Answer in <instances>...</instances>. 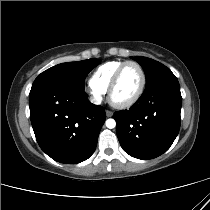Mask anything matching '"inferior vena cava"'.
<instances>
[{"label":"inferior vena cava","mask_w":210,"mask_h":210,"mask_svg":"<svg viewBox=\"0 0 210 210\" xmlns=\"http://www.w3.org/2000/svg\"><path fill=\"white\" fill-rule=\"evenodd\" d=\"M92 102L95 103V104H96V103H97V104L100 103V102H98V101H96V100H92Z\"/></svg>","instance_id":"obj_1"}]
</instances>
